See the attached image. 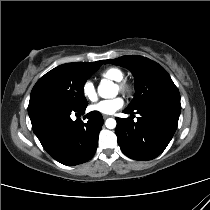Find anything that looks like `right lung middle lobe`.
Returning a JSON list of instances; mask_svg holds the SVG:
<instances>
[{
	"label": "right lung middle lobe",
	"instance_id": "dd1d6c3e",
	"mask_svg": "<svg viewBox=\"0 0 210 210\" xmlns=\"http://www.w3.org/2000/svg\"><path fill=\"white\" fill-rule=\"evenodd\" d=\"M104 60L67 63L52 69L41 77L32 89L28 106L31 114L50 106L81 108L88 105L83 87L86 80Z\"/></svg>",
	"mask_w": 210,
	"mask_h": 210
}]
</instances>
